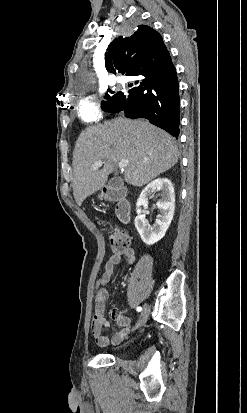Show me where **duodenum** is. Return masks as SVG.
Segmentation results:
<instances>
[{
  "label": "duodenum",
  "mask_w": 247,
  "mask_h": 413,
  "mask_svg": "<svg viewBox=\"0 0 247 413\" xmlns=\"http://www.w3.org/2000/svg\"><path fill=\"white\" fill-rule=\"evenodd\" d=\"M104 193L107 200L118 203V219L123 223H128L130 221V204L126 198L124 190L120 188L106 187Z\"/></svg>",
  "instance_id": "410a0bca"
}]
</instances>
